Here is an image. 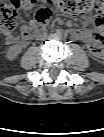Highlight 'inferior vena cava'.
Returning a JSON list of instances; mask_svg holds the SVG:
<instances>
[{"label": "inferior vena cava", "instance_id": "inferior-vena-cava-1", "mask_svg": "<svg viewBox=\"0 0 104 137\" xmlns=\"http://www.w3.org/2000/svg\"><path fill=\"white\" fill-rule=\"evenodd\" d=\"M38 42L41 44V45H46L48 43V37L46 35H40L38 37Z\"/></svg>", "mask_w": 104, "mask_h": 137}]
</instances>
